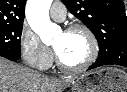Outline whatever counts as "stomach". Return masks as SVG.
<instances>
[{"label": "stomach", "mask_w": 127, "mask_h": 92, "mask_svg": "<svg viewBox=\"0 0 127 92\" xmlns=\"http://www.w3.org/2000/svg\"><path fill=\"white\" fill-rule=\"evenodd\" d=\"M71 92H127V73L113 67H103L77 78Z\"/></svg>", "instance_id": "0dacf381"}]
</instances>
